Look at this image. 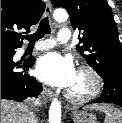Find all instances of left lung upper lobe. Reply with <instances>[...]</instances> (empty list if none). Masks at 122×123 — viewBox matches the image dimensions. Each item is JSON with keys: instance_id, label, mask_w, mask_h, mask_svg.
Masks as SVG:
<instances>
[{"instance_id": "5c2ea615", "label": "left lung upper lobe", "mask_w": 122, "mask_h": 123, "mask_svg": "<svg viewBox=\"0 0 122 123\" xmlns=\"http://www.w3.org/2000/svg\"><path fill=\"white\" fill-rule=\"evenodd\" d=\"M56 7L65 8L71 25L78 28L77 50L101 76L122 73V47L112 10L106 0H51Z\"/></svg>"}]
</instances>
